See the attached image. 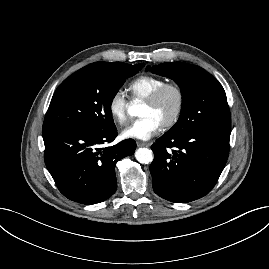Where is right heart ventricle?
<instances>
[{
	"label": "right heart ventricle",
	"instance_id": "right-heart-ventricle-1",
	"mask_svg": "<svg viewBox=\"0 0 269 269\" xmlns=\"http://www.w3.org/2000/svg\"><path fill=\"white\" fill-rule=\"evenodd\" d=\"M165 83L163 78L144 74L133 79L127 86L132 98L144 99L156 88Z\"/></svg>",
	"mask_w": 269,
	"mask_h": 269
}]
</instances>
